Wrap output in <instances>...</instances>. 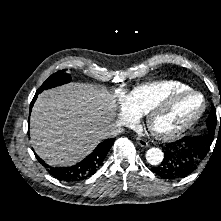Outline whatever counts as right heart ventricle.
I'll list each match as a JSON object with an SVG mask.
<instances>
[{
  "instance_id": "e07e8e85",
  "label": "right heart ventricle",
  "mask_w": 221,
  "mask_h": 221,
  "mask_svg": "<svg viewBox=\"0 0 221 221\" xmlns=\"http://www.w3.org/2000/svg\"><path fill=\"white\" fill-rule=\"evenodd\" d=\"M191 89L189 85L176 80H159L135 86L125 98L128 108L137 116L147 113L153 103L177 92Z\"/></svg>"
}]
</instances>
